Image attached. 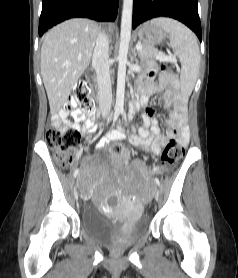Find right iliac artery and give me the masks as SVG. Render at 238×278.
I'll return each mask as SVG.
<instances>
[{
  "mask_svg": "<svg viewBox=\"0 0 238 278\" xmlns=\"http://www.w3.org/2000/svg\"><path fill=\"white\" fill-rule=\"evenodd\" d=\"M118 116H119V114H117V113L114 114L112 127L114 126V123L118 119ZM78 174H79V169H76L75 172H74V177H76Z\"/></svg>",
  "mask_w": 238,
  "mask_h": 278,
  "instance_id": "right-iliac-artery-1",
  "label": "right iliac artery"
}]
</instances>
